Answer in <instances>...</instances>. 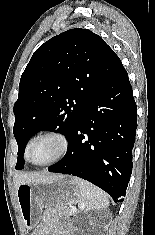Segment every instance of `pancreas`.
<instances>
[{"instance_id": "pancreas-1", "label": "pancreas", "mask_w": 155, "mask_h": 235, "mask_svg": "<svg viewBox=\"0 0 155 235\" xmlns=\"http://www.w3.org/2000/svg\"><path fill=\"white\" fill-rule=\"evenodd\" d=\"M60 208H61L62 210H64L65 213H67V214H69V215H74V213L71 212V209H70V208H68V207H66V206H60Z\"/></svg>"}]
</instances>
